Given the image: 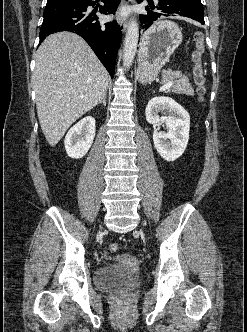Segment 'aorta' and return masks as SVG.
Returning a JSON list of instances; mask_svg holds the SVG:
<instances>
[{
	"mask_svg": "<svg viewBox=\"0 0 247 332\" xmlns=\"http://www.w3.org/2000/svg\"><path fill=\"white\" fill-rule=\"evenodd\" d=\"M139 38V28L135 19L128 25L123 47V65L129 68L134 60Z\"/></svg>",
	"mask_w": 247,
	"mask_h": 332,
	"instance_id": "aorta-1",
	"label": "aorta"
}]
</instances>
